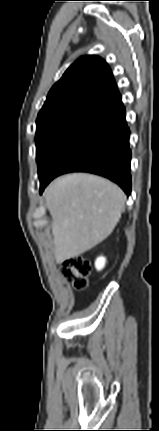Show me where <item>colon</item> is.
<instances>
[{
    "label": "colon",
    "instance_id": "obj_1",
    "mask_svg": "<svg viewBox=\"0 0 159 431\" xmlns=\"http://www.w3.org/2000/svg\"><path fill=\"white\" fill-rule=\"evenodd\" d=\"M63 277L71 283L74 289L83 290L88 286V276L91 272L90 262L80 256L67 258L62 265Z\"/></svg>",
    "mask_w": 159,
    "mask_h": 431
}]
</instances>
